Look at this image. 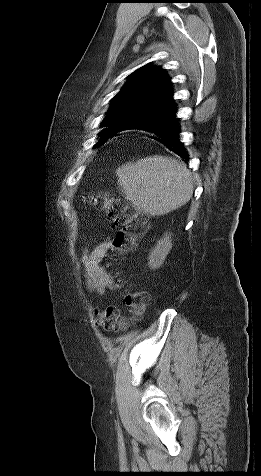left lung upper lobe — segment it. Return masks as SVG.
<instances>
[{
  "mask_svg": "<svg viewBox=\"0 0 261 476\" xmlns=\"http://www.w3.org/2000/svg\"><path fill=\"white\" fill-rule=\"evenodd\" d=\"M131 75L132 78L113 98L111 108L102 121V126L107 128L100 133L99 141L110 130L147 117L160 116L175 107L171 82L164 69L146 65Z\"/></svg>",
  "mask_w": 261,
  "mask_h": 476,
  "instance_id": "left-lung-upper-lobe-1",
  "label": "left lung upper lobe"
}]
</instances>
